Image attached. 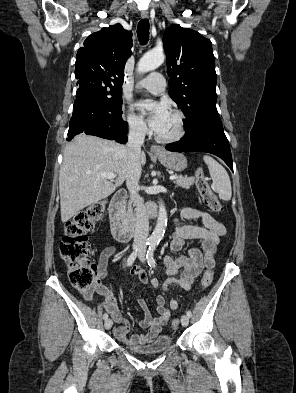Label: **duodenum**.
<instances>
[{
    "label": "duodenum",
    "instance_id": "obj_1",
    "mask_svg": "<svg viewBox=\"0 0 296 393\" xmlns=\"http://www.w3.org/2000/svg\"><path fill=\"white\" fill-rule=\"evenodd\" d=\"M127 192L124 189H120L115 192L111 198L109 205V220L111 232L114 238L119 242H126L134 236V227L130 224L123 211V204L126 199ZM148 214L150 216L157 215V206L149 205Z\"/></svg>",
    "mask_w": 296,
    "mask_h": 393
}]
</instances>
